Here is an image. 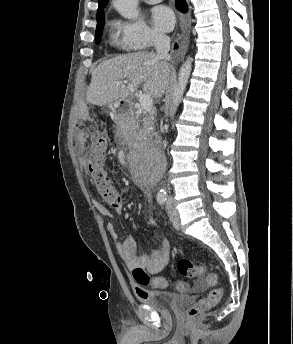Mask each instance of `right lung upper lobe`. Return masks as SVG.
Wrapping results in <instances>:
<instances>
[{
    "label": "right lung upper lobe",
    "instance_id": "right-lung-upper-lobe-1",
    "mask_svg": "<svg viewBox=\"0 0 293 344\" xmlns=\"http://www.w3.org/2000/svg\"><path fill=\"white\" fill-rule=\"evenodd\" d=\"M107 3H108V0H98L99 7H98V12H97V17H98L102 12H104V11H103V8L106 7Z\"/></svg>",
    "mask_w": 293,
    "mask_h": 344
}]
</instances>
